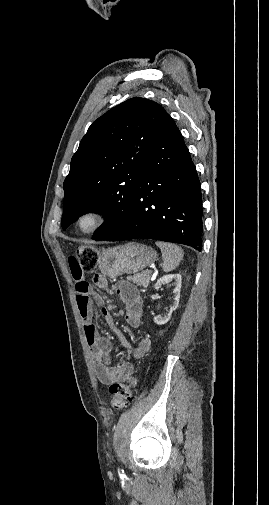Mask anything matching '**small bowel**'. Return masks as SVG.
Masks as SVG:
<instances>
[{"label": "small bowel", "mask_w": 269, "mask_h": 505, "mask_svg": "<svg viewBox=\"0 0 269 505\" xmlns=\"http://www.w3.org/2000/svg\"><path fill=\"white\" fill-rule=\"evenodd\" d=\"M79 259H69L67 268L72 271L75 281V293L86 342L94 358L95 371L98 380L105 385L120 383L129 378L133 372L130 358L140 359L151 348V340L144 337L137 347L133 348L122 333L115 328L113 317L108 308L104 307V300L98 295H91L89 284L86 281L90 274H83ZM94 282L99 287H104L106 281L101 276H96ZM115 292L125 304L124 317L129 326L137 328L141 324L142 299L134 286L121 282L115 286ZM93 306L101 307V314L107 325L117 334L121 343L126 348L125 356L114 366L108 365V355L112 349L111 342L98 334L94 323Z\"/></svg>", "instance_id": "small-bowel-1"}]
</instances>
